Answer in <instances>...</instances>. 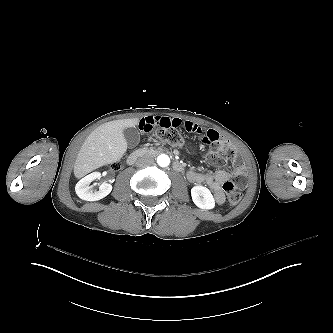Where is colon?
<instances>
[{"label": "colon", "instance_id": "1", "mask_svg": "<svg viewBox=\"0 0 333 333\" xmlns=\"http://www.w3.org/2000/svg\"><path fill=\"white\" fill-rule=\"evenodd\" d=\"M191 135L193 137H200L202 135V128L200 126H193L191 128ZM147 134V133H144ZM156 135L158 139L166 144L172 145V146H179L183 145V139L181 134L178 130H173L167 127L163 130H156ZM204 140L206 142H213L215 140V132L213 130H206L204 132ZM221 151L225 154L226 158L231 162V166L234 169L235 175L233 178L229 181H227L224 186V192L226 193V199L229 205H236L241 200V184L244 180H246L247 175L244 171V163L242 160L236 157L235 151L233 148H231L226 143H222L220 145ZM227 160L222 157L219 159V163L221 165H225Z\"/></svg>", "mask_w": 333, "mask_h": 333}]
</instances>
